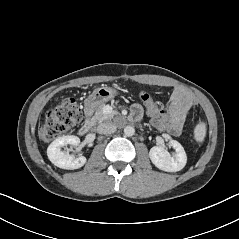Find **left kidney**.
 Returning <instances> with one entry per match:
<instances>
[{"label": "left kidney", "mask_w": 239, "mask_h": 239, "mask_svg": "<svg viewBox=\"0 0 239 239\" xmlns=\"http://www.w3.org/2000/svg\"><path fill=\"white\" fill-rule=\"evenodd\" d=\"M169 144L175 149V155L172 156L165 146H154L150 149L149 157L160 170L166 172L180 171L187 162L185 150L178 141L170 140Z\"/></svg>", "instance_id": "left-kidney-1"}]
</instances>
